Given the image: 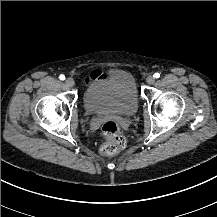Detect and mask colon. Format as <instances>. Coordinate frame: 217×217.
<instances>
[{"label": "colon", "instance_id": "colon-1", "mask_svg": "<svg viewBox=\"0 0 217 217\" xmlns=\"http://www.w3.org/2000/svg\"><path fill=\"white\" fill-rule=\"evenodd\" d=\"M102 133L107 143L102 148L106 155L117 153L124 145V138L120 134V126L115 120H108L102 127Z\"/></svg>", "mask_w": 217, "mask_h": 217}]
</instances>
